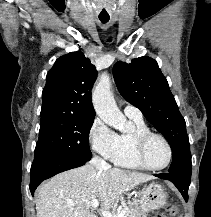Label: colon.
<instances>
[{
	"label": "colon",
	"mask_w": 211,
	"mask_h": 217,
	"mask_svg": "<svg viewBox=\"0 0 211 217\" xmlns=\"http://www.w3.org/2000/svg\"><path fill=\"white\" fill-rule=\"evenodd\" d=\"M170 215L175 216L177 214V208L175 205L171 204L167 208ZM157 217H166L165 215H159Z\"/></svg>",
	"instance_id": "5ec220e1"
}]
</instances>
